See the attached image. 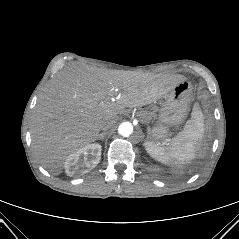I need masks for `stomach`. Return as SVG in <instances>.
<instances>
[{
    "mask_svg": "<svg viewBox=\"0 0 239 239\" xmlns=\"http://www.w3.org/2000/svg\"><path fill=\"white\" fill-rule=\"evenodd\" d=\"M191 90V83L182 81L165 96L164 100L160 101L159 120L152 128V140L156 141L168 137L169 127L177 126L184 121Z\"/></svg>",
    "mask_w": 239,
    "mask_h": 239,
    "instance_id": "obj_1",
    "label": "stomach"
}]
</instances>
